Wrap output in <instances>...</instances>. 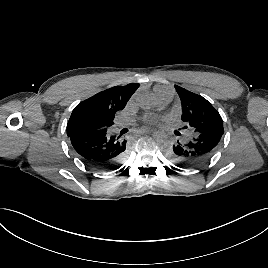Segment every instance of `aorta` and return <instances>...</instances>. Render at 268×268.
Segmentation results:
<instances>
[{"label": "aorta", "mask_w": 268, "mask_h": 268, "mask_svg": "<svg viewBox=\"0 0 268 268\" xmlns=\"http://www.w3.org/2000/svg\"><path fill=\"white\" fill-rule=\"evenodd\" d=\"M152 102V97L148 94H140L136 99L137 106L141 108H149ZM152 138L155 142L162 144L166 141L167 136L164 132L157 130L153 133Z\"/></svg>", "instance_id": "obj_1"}]
</instances>
